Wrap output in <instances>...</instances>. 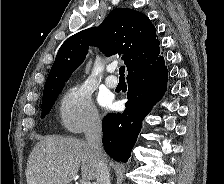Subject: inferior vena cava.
<instances>
[{
  "label": "inferior vena cava",
  "instance_id": "1",
  "mask_svg": "<svg viewBox=\"0 0 224 184\" xmlns=\"http://www.w3.org/2000/svg\"><path fill=\"white\" fill-rule=\"evenodd\" d=\"M85 138L97 159L95 184H110L109 168L102 147V128L99 117H94L89 121L85 130Z\"/></svg>",
  "mask_w": 224,
  "mask_h": 184
}]
</instances>
